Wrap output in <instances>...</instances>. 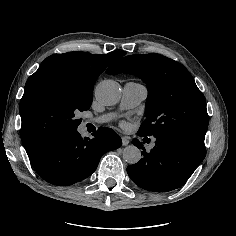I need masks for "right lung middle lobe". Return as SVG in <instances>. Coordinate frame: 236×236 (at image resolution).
Masks as SVG:
<instances>
[{
  "instance_id": "obj_1",
  "label": "right lung middle lobe",
  "mask_w": 236,
  "mask_h": 236,
  "mask_svg": "<svg viewBox=\"0 0 236 236\" xmlns=\"http://www.w3.org/2000/svg\"><path fill=\"white\" fill-rule=\"evenodd\" d=\"M95 81L66 70L31 75L20 101L21 138L27 154L56 135L77 130V113L91 106Z\"/></svg>"
}]
</instances>
